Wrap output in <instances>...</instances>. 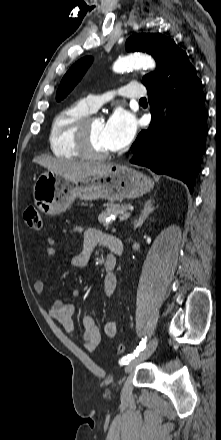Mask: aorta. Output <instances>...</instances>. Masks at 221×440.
I'll return each instance as SVG.
<instances>
[{"label":"aorta","instance_id":"obj_1","mask_svg":"<svg viewBox=\"0 0 221 440\" xmlns=\"http://www.w3.org/2000/svg\"><path fill=\"white\" fill-rule=\"evenodd\" d=\"M155 67H156V63L151 56L142 53H135L119 58L114 63L113 70L117 73H122L130 69H138V68L154 69Z\"/></svg>","mask_w":221,"mask_h":440}]
</instances>
